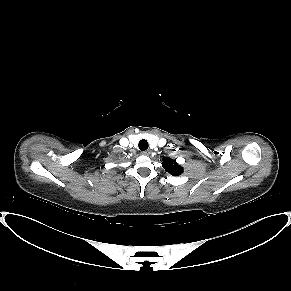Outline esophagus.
Here are the masks:
<instances>
[{
    "instance_id": "34e87169",
    "label": "esophagus",
    "mask_w": 291,
    "mask_h": 291,
    "mask_svg": "<svg viewBox=\"0 0 291 291\" xmlns=\"http://www.w3.org/2000/svg\"><path fill=\"white\" fill-rule=\"evenodd\" d=\"M150 153H151L150 150L142 151V155H145V156H149Z\"/></svg>"
}]
</instances>
